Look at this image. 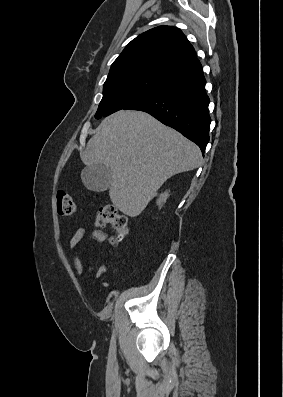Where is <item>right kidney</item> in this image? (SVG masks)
<instances>
[{
  "label": "right kidney",
  "instance_id": "right-kidney-1",
  "mask_svg": "<svg viewBox=\"0 0 283 397\" xmlns=\"http://www.w3.org/2000/svg\"><path fill=\"white\" fill-rule=\"evenodd\" d=\"M169 196L168 191L160 194L158 200H157V205L159 206V208L163 205V203H165L167 197Z\"/></svg>",
  "mask_w": 283,
  "mask_h": 397
}]
</instances>
